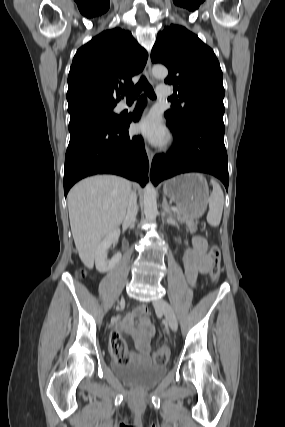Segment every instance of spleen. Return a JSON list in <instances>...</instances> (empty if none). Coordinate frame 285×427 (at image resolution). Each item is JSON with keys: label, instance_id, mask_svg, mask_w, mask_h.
I'll list each match as a JSON object with an SVG mask.
<instances>
[{"label": "spleen", "instance_id": "obj_1", "mask_svg": "<svg viewBox=\"0 0 285 427\" xmlns=\"http://www.w3.org/2000/svg\"><path fill=\"white\" fill-rule=\"evenodd\" d=\"M211 183L213 190L209 198V212L207 214V222L211 226L216 227L220 224L221 221L224 195L220 185L216 181L211 180Z\"/></svg>", "mask_w": 285, "mask_h": 427}]
</instances>
